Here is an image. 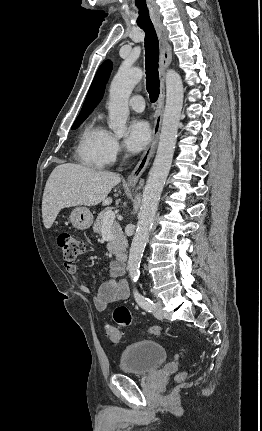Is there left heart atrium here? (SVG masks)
<instances>
[{
	"label": "left heart atrium",
	"mask_w": 262,
	"mask_h": 431,
	"mask_svg": "<svg viewBox=\"0 0 262 431\" xmlns=\"http://www.w3.org/2000/svg\"><path fill=\"white\" fill-rule=\"evenodd\" d=\"M150 138V128L147 122L135 119L129 123L125 137V145L130 152L141 151Z\"/></svg>",
	"instance_id": "39dd6f15"
}]
</instances>
